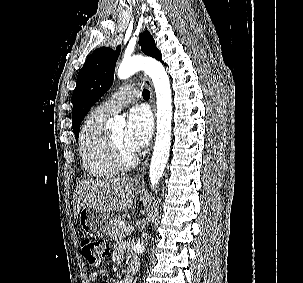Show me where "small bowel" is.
Returning <instances> with one entry per match:
<instances>
[{
	"instance_id": "small-bowel-1",
	"label": "small bowel",
	"mask_w": 303,
	"mask_h": 283,
	"mask_svg": "<svg viewBox=\"0 0 303 283\" xmlns=\"http://www.w3.org/2000/svg\"><path fill=\"white\" fill-rule=\"evenodd\" d=\"M124 253H125V245L123 243H119L115 246V248L111 254V257L114 261L119 262L123 259ZM89 279L92 282H96L98 279L97 273L91 272L89 274ZM130 281L131 280L128 277H125L124 279L117 281V283H131Z\"/></svg>"
}]
</instances>
